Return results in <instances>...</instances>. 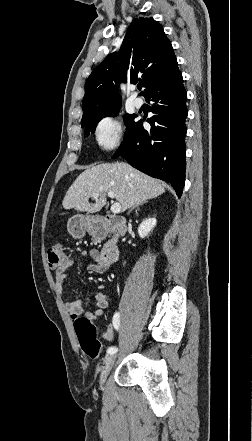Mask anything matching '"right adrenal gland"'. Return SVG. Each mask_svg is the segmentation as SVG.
Here are the masks:
<instances>
[{
	"instance_id": "right-adrenal-gland-1",
	"label": "right adrenal gland",
	"mask_w": 252,
	"mask_h": 441,
	"mask_svg": "<svg viewBox=\"0 0 252 441\" xmlns=\"http://www.w3.org/2000/svg\"><path fill=\"white\" fill-rule=\"evenodd\" d=\"M138 207H139V205H135V206L131 207V209L129 210L128 214H129L133 209L138 208Z\"/></svg>"
}]
</instances>
